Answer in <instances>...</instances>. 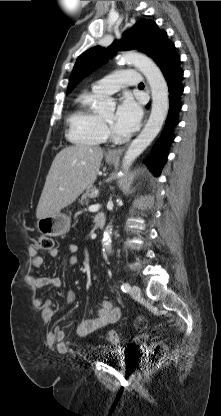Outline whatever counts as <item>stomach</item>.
<instances>
[{"label": "stomach", "instance_id": "1", "mask_svg": "<svg viewBox=\"0 0 221 416\" xmlns=\"http://www.w3.org/2000/svg\"><path fill=\"white\" fill-rule=\"evenodd\" d=\"M108 164H115L117 159H106ZM39 232L45 236L57 237L64 235L70 229V218L62 213L41 218L37 221Z\"/></svg>", "mask_w": 221, "mask_h": 416}]
</instances>
